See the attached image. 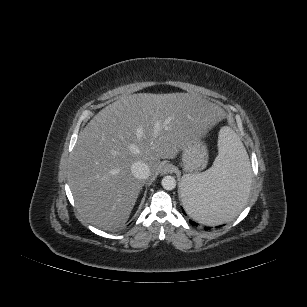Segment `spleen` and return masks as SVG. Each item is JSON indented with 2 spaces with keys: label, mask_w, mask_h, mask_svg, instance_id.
I'll return each mask as SVG.
<instances>
[{
  "label": "spleen",
  "mask_w": 307,
  "mask_h": 307,
  "mask_svg": "<svg viewBox=\"0 0 307 307\" xmlns=\"http://www.w3.org/2000/svg\"><path fill=\"white\" fill-rule=\"evenodd\" d=\"M250 184L251 169L246 150L239 137L230 128L223 127L212 167L202 173L184 175L181 199L194 220L219 225L241 212Z\"/></svg>",
  "instance_id": "3e777b00"
}]
</instances>
